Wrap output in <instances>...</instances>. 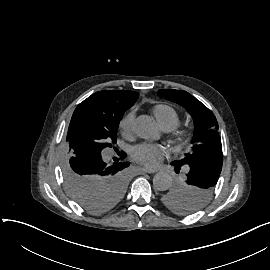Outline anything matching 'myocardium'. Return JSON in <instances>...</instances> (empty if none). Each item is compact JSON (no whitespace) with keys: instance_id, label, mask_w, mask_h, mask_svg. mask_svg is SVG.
Masks as SVG:
<instances>
[{"instance_id":"f54148a6","label":"myocardium","mask_w":270,"mask_h":270,"mask_svg":"<svg viewBox=\"0 0 270 270\" xmlns=\"http://www.w3.org/2000/svg\"><path fill=\"white\" fill-rule=\"evenodd\" d=\"M189 134H190L189 128L186 129V130H183V131H178V132L176 133V135H189Z\"/></svg>"}]
</instances>
